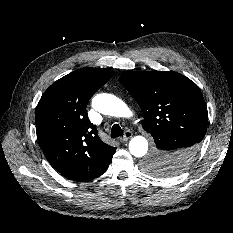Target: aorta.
<instances>
[{"label": "aorta", "mask_w": 233, "mask_h": 233, "mask_svg": "<svg viewBox=\"0 0 233 233\" xmlns=\"http://www.w3.org/2000/svg\"><path fill=\"white\" fill-rule=\"evenodd\" d=\"M92 106L98 112L114 117H130L132 115L128 106L118 97L101 93L96 95L92 100ZM130 153L138 158L146 155L148 151V141L143 136H135L129 143Z\"/></svg>", "instance_id": "aorta-1"}]
</instances>
